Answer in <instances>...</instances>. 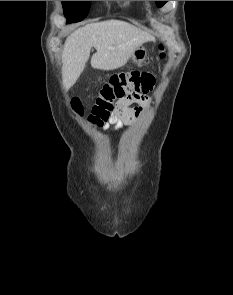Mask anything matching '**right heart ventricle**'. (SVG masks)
<instances>
[{
	"instance_id": "1",
	"label": "right heart ventricle",
	"mask_w": 233,
	"mask_h": 295,
	"mask_svg": "<svg viewBox=\"0 0 233 295\" xmlns=\"http://www.w3.org/2000/svg\"><path fill=\"white\" fill-rule=\"evenodd\" d=\"M125 2L128 5H133V6H136V7H139V8H141L143 6L140 1H125Z\"/></svg>"
}]
</instances>
